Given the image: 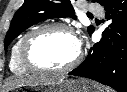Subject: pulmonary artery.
Wrapping results in <instances>:
<instances>
[{"label":"pulmonary artery","mask_w":127,"mask_h":92,"mask_svg":"<svg viewBox=\"0 0 127 92\" xmlns=\"http://www.w3.org/2000/svg\"><path fill=\"white\" fill-rule=\"evenodd\" d=\"M89 10L95 14H100L101 13V9L97 6H90Z\"/></svg>","instance_id":"pulmonary-artery-1"}]
</instances>
